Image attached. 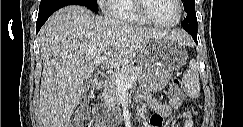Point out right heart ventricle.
I'll return each mask as SVG.
<instances>
[{
	"label": "right heart ventricle",
	"mask_w": 243,
	"mask_h": 127,
	"mask_svg": "<svg viewBox=\"0 0 243 127\" xmlns=\"http://www.w3.org/2000/svg\"><path fill=\"white\" fill-rule=\"evenodd\" d=\"M112 17L120 22L147 25L136 10V0H112L109 3Z\"/></svg>",
	"instance_id": "right-heart-ventricle-1"
}]
</instances>
